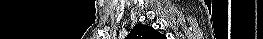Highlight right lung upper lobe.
<instances>
[{"label":"right lung upper lobe","mask_w":263,"mask_h":39,"mask_svg":"<svg viewBox=\"0 0 263 39\" xmlns=\"http://www.w3.org/2000/svg\"><path fill=\"white\" fill-rule=\"evenodd\" d=\"M128 36L132 39H158L162 35L150 26L137 24Z\"/></svg>","instance_id":"right-lung-upper-lobe-1"}]
</instances>
